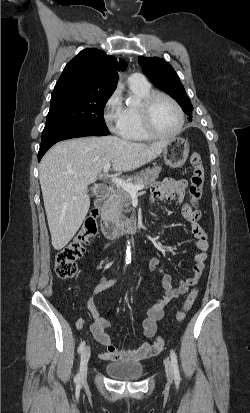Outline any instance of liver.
Listing matches in <instances>:
<instances>
[{
	"instance_id": "1",
	"label": "liver",
	"mask_w": 250,
	"mask_h": 413,
	"mask_svg": "<svg viewBox=\"0 0 250 413\" xmlns=\"http://www.w3.org/2000/svg\"><path fill=\"white\" fill-rule=\"evenodd\" d=\"M167 141L143 144L117 136L85 137L55 144L39 166L51 241L54 249L65 247L85 219L90 199L88 185L95 182L104 166L131 171L156 159Z\"/></svg>"
}]
</instances>
